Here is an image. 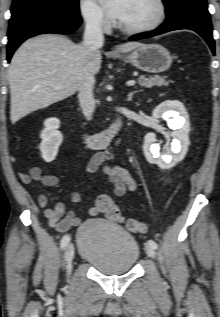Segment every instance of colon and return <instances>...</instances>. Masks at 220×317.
<instances>
[{
    "label": "colon",
    "mask_w": 220,
    "mask_h": 317,
    "mask_svg": "<svg viewBox=\"0 0 220 317\" xmlns=\"http://www.w3.org/2000/svg\"><path fill=\"white\" fill-rule=\"evenodd\" d=\"M103 209L105 216L115 222H124L127 228L135 233H143L145 231V225L143 222L137 219H127L125 220L119 210V208L114 204V202L108 198L103 201Z\"/></svg>",
    "instance_id": "obj_1"
}]
</instances>
